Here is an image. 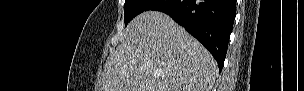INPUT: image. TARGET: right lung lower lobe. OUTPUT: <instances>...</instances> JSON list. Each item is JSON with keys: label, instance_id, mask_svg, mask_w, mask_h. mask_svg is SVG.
Masks as SVG:
<instances>
[{"label": "right lung lower lobe", "instance_id": "obj_1", "mask_svg": "<svg viewBox=\"0 0 304 91\" xmlns=\"http://www.w3.org/2000/svg\"><path fill=\"white\" fill-rule=\"evenodd\" d=\"M168 14L199 40L222 70L236 16V0H153L145 11Z\"/></svg>", "mask_w": 304, "mask_h": 91}]
</instances>
